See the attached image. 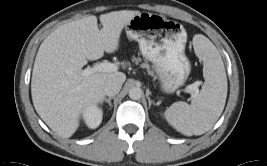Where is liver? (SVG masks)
I'll use <instances>...</instances> for the list:
<instances>
[{
    "label": "liver",
    "mask_w": 267,
    "mask_h": 166,
    "mask_svg": "<svg viewBox=\"0 0 267 166\" xmlns=\"http://www.w3.org/2000/svg\"><path fill=\"white\" fill-rule=\"evenodd\" d=\"M139 11L121 10L90 15L63 24L41 43L31 79L32 101L41 119L59 136L71 137L80 125L83 112L105 100L107 80L122 83V72H97L82 76L87 60H97L104 52L113 53L119 47L123 28Z\"/></svg>",
    "instance_id": "obj_1"
}]
</instances>
